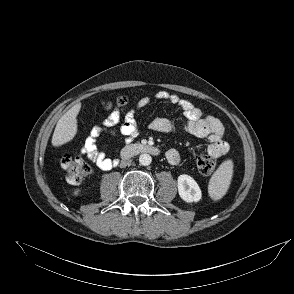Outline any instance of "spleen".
<instances>
[{"instance_id":"3e777b00","label":"spleen","mask_w":294,"mask_h":294,"mask_svg":"<svg viewBox=\"0 0 294 294\" xmlns=\"http://www.w3.org/2000/svg\"><path fill=\"white\" fill-rule=\"evenodd\" d=\"M233 175V163L225 161L215 171L209 182V195L213 200L221 199L227 192Z\"/></svg>"}]
</instances>
